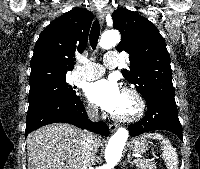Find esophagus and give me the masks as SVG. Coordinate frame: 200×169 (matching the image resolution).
Instances as JSON below:
<instances>
[{
    "mask_svg": "<svg viewBox=\"0 0 200 169\" xmlns=\"http://www.w3.org/2000/svg\"><path fill=\"white\" fill-rule=\"evenodd\" d=\"M98 19H99V22H100V24H104V22H105V13L103 12V11H101V12H99L98 13ZM117 127H118V125L117 124H110L109 125V128H110V131L111 132H114L116 129H117Z\"/></svg>",
    "mask_w": 200,
    "mask_h": 169,
    "instance_id": "1",
    "label": "esophagus"
}]
</instances>
